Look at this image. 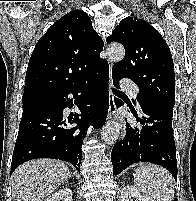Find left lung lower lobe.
<instances>
[{"instance_id":"0a47b994","label":"left lung lower lobe","mask_w":196,"mask_h":201,"mask_svg":"<svg viewBox=\"0 0 196 201\" xmlns=\"http://www.w3.org/2000/svg\"><path fill=\"white\" fill-rule=\"evenodd\" d=\"M113 77V83L119 88L120 78ZM129 106L130 102L125 101ZM123 105L118 99L117 107ZM143 116L139 118L131 106V112L142 127L126 123L124 139L117 142L111 153L113 174L118 175L136 162H151L166 168L177 179L176 147L172 130L173 107L150 99L140 101Z\"/></svg>"}]
</instances>
